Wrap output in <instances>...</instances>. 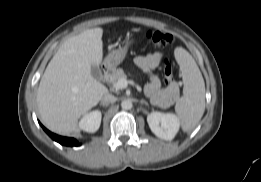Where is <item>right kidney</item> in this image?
<instances>
[{"mask_svg":"<svg viewBox=\"0 0 261 182\" xmlns=\"http://www.w3.org/2000/svg\"><path fill=\"white\" fill-rule=\"evenodd\" d=\"M101 118H102V114L100 111L95 110L89 112L81 118L79 122V127L86 132L94 133L100 127Z\"/></svg>","mask_w":261,"mask_h":182,"instance_id":"right-kidney-1","label":"right kidney"}]
</instances>
